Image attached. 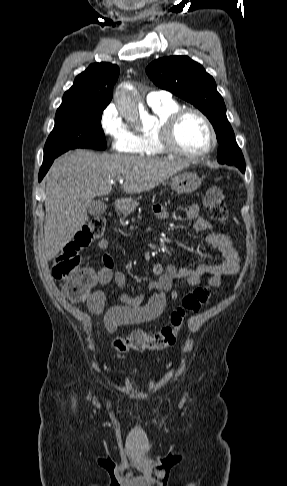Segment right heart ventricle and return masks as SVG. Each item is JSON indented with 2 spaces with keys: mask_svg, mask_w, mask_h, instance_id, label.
<instances>
[{
  "mask_svg": "<svg viewBox=\"0 0 287 486\" xmlns=\"http://www.w3.org/2000/svg\"><path fill=\"white\" fill-rule=\"evenodd\" d=\"M150 107L158 118V124L149 131L136 134L138 147L135 153L141 156L156 157L166 153L158 141L157 128L162 121L171 113L178 110L180 106L171 99L166 102L152 104Z\"/></svg>",
  "mask_w": 287,
  "mask_h": 486,
  "instance_id": "1",
  "label": "right heart ventricle"
}]
</instances>
